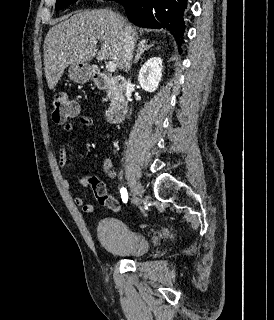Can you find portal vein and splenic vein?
<instances>
[{
	"label": "portal vein and splenic vein",
	"instance_id": "1",
	"mask_svg": "<svg viewBox=\"0 0 274 320\" xmlns=\"http://www.w3.org/2000/svg\"><path fill=\"white\" fill-rule=\"evenodd\" d=\"M106 70L107 72H115L116 70L115 62H106Z\"/></svg>",
	"mask_w": 274,
	"mask_h": 320
}]
</instances>
